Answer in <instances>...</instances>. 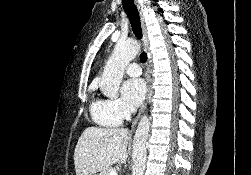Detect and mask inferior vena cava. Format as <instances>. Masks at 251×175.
<instances>
[{
    "label": "inferior vena cava",
    "instance_id": "602c4592",
    "mask_svg": "<svg viewBox=\"0 0 251 175\" xmlns=\"http://www.w3.org/2000/svg\"><path fill=\"white\" fill-rule=\"evenodd\" d=\"M131 111H132V113H135L136 107H132Z\"/></svg>",
    "mask_w": 251,
    "mask_h": 175
}]
</instances>
